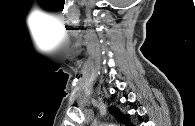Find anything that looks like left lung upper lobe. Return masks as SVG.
<instances>
[{
	"instance_id": "obj_1",
	"label": "left lung upper lobe",
	"mask_w": 195,
	"mask_h": 126,
	"mask_svg": "<svg viewBox=\"0 0 195 126\" xmlns=\"http://www.w3.org/2000/svg\"><path fill=\"white\" fill-rule=\"evenodd\" d=\"M110 113L120 122L124 123L127 126H132V124L129 121V116L128 115H123L118 108L111 106L109 108Z\"/></svg>"
}]
</instances>
